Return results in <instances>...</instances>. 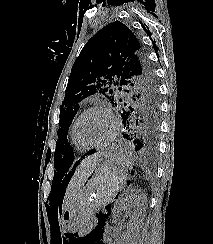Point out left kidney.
Segmentation results:
<instances>
[{
    "instance_id": "5707ae66",
    "label": "left kidney",
    "mask_w": 213,
    "mask_h": 244,
    "mask_svg": "<svg viewBox=\"0 0 213 244\" xmlns=\"http://www.w3.org/2000/svg\"><path fill=\"white\" fill-rule=\"evenodd\" d=\"M144 195L140 194L135 190H130L125 193V196L120 198L114 205L112 210L113 218L118 219L123 210L134 209L132 214L129 215L130 221L127 226V231L121 237V240L118 244H134V237L137 233L141 217V207L144 202ZM112 244V243H111Z\"/></svg>"
}]
</instances>
